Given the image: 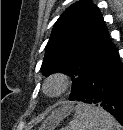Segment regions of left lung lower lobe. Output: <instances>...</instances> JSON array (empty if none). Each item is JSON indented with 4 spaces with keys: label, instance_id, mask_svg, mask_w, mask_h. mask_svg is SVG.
<instances>
[{
    "label": "left lung lower lobe",
    "instance_id": "1",
    "mask_svg": "<svg viewBox=\"0 0 123 130\" xmlns=\"http://www.w3.org/2000/svg\"><path fill=\"white\" fill-rule=\"evenodd\" d=\"M76 101L103 107L123 125V65L114 44L97 59Z\"/></svg>",
    "mask_w": 123,
    "mask_h": 130
}]
</instances>
